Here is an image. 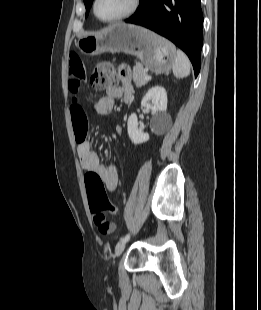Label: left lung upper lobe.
I'll return each instance as SVG.
<instances>
[{
    "instance_id": "obj_1",
    "label": "left lung upper lobe",
    "mask_w": 261,
    "mask_h": 310,
    "mask_svg": "<svg viewBox=\"0 0 261 310\" xmlns=\"http://www.w3.org/2000/svg\"><path fill=\"white\" fill-rule=\"evenodd\" d=\"M92 1H93V0H84L85 7H86V17H87L88 12H89V10H90V8H91Z\"/></svg>"
}]
</instances>
